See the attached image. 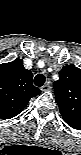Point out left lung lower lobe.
I'll return each instance as SVG.
<instances>
[{
    "label": "left lung lower lobe",
    "instance_id": "obj_1",
    "mask_svg": "<svg viewBox=\"0 0 81 155\" xmlns=\"http://www.w3.org/2000/svg\"><path fill=\"white\" fill-rule=\"evenodd\" d=\"M70 127L74 128V129H80L81 128V124L78 122H74V121H65Z\"/></svg>",
    "mask_w": 81,
    "mask_h": 155
}]
</instances>
